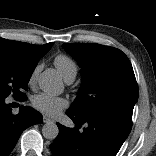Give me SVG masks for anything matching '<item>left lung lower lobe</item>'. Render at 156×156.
I'll list each match as a JSON object with an SVG mask.
<instances>
[{
	"label": "left lung lower lobe",
	"instance_id": "0a47b994",
	"mask_svg": "<svg viewBox=\"0 0 156 156\" xmlns=\"http://www.w3.org/2000/svg\"><path fill=\"white\" fill-rule=\"evenodd\" d=\"M66 114L75 123L68 128L59 123V134L50 145L53 156H115L132 127V116L104 110L89 115ZM86 124L79 130L80 124Z\"/></svg>",
	"mask_w": 156,
	"mask_h": 156
}]
</instances>
